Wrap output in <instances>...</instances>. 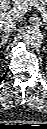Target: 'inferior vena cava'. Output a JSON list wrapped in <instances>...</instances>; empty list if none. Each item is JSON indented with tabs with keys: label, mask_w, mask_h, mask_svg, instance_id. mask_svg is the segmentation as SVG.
Returning a JSON list of instances; mask_svg holds the SVG:
<instances>
[{
	"label": "inferior vena cava",
	"mask_w": 47,
	"mask_h": 129,
	"mask_svg": "<svg viewBox=\"0 0 47 129\" xmlns=\"http://www.w3.org/2000/svg\"><path fill=\"white\" fill-rule=\"evenodd\" d=\"M16 30V24L13 21H1L0 31L11 35Z\"/></svg>",
	"instance_id": "1"
}]
</instances>
